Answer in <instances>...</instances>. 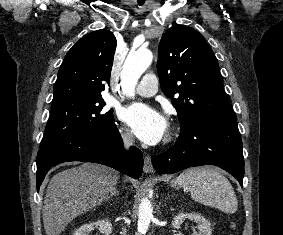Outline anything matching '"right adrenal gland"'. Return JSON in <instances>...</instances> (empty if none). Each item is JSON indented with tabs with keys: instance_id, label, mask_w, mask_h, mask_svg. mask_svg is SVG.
I'll return each instance as SVG.
<instances>
[{
	"instance_id": "obj_1",
	"label": "right adrenal gland",
	"mask_w": 283,
	"mask_h": 235,
	"mask_svg": "<svg viewBox=\"0 0 283 235\" xmlns=\"http://www.w3.org/2000/svg\"><path fill=\"white\" fill-rule=\"evenodd\" d=\"M119 195V191L116 190V188L112 191V193L110 194V196L108 197V199H110L112 196H118Z\"/></svg>"
}]
</instances>
